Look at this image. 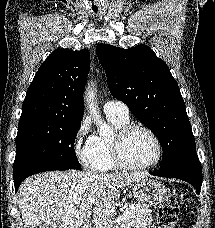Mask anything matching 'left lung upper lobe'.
<instances>
[{"label":"left lung upper lobe","mask_w":215,"mask_h":228,"mask_svg":"<svg viewBox=\"0 0 215 228\" xmlns=\"http://www.w3.org/2000/svg\"><path fill=\"white\" fill-rule=\"evenodd\" d=\"M96 53L111 94L159 139L160 168L196 152L178 84L163 60L144 44L129 49L99 44Z\"/></svg>","instance_id":"5c2ea615"}]
</instances>
